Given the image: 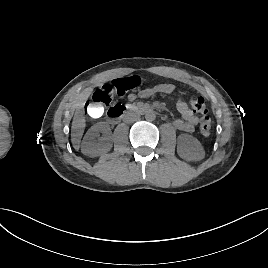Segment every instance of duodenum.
I'll return each instance as SVG.
<instances>
[{
	"instance_id": "duodenum-1",
	"label": "duodenum",
	"mask_w": 268,
	"mask_h": 268,
	"mask_svg": "<svg viewBox=\"0 0 268 268\" xmlns=\"http://www.w3.org/2000/svg\"><path fill=\"white\" fill-rule=\"evenodd\" d=\"M153 110L145 105H123L117 104L108 109V117L112 122H118L129 114L152 113Z\"/></svg>"
}]
</instances>
